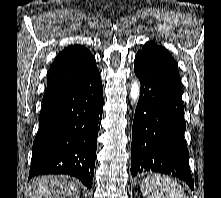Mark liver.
<instances>
[{
	"label": "liver",
	"instance_id": "obj_1",
	"mask_svg": "<svg viewBox=\"0 0 221 198\" xmlns=\"http://www.w3.org/2000/svg\"><path fill=\"white\" fill-rule=\"evenodd\" d=\"M30 198H79L78 181L67 175L39 176L29 187Z\"/></svg>",
	"mask_w": 221,
	"mask_h": 198
}]
</instances>
